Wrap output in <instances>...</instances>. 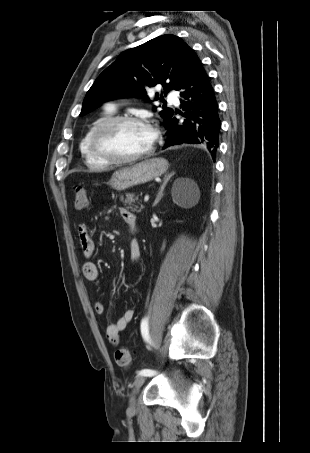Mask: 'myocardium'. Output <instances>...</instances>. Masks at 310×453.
Segmentation results:
<instances>
[{"instance_id": "f54148a6", "label": "myocardium", "mask_w": 310, "mask_h": 453, "mask_svg": "<svg viewBox=\"0 0 310 453\" xmlns=\"http://www.w3.org/2000/svg\"><path fill=\"white\" fill-rule=\"evenodd\" d=\"M121 124H140L145 125L142 118L138 116L132 115H118V116H111L110 118L101 122L93 131L91 139H90V146L92 152L96 157L101 159L102 161L108 164H129L136 162L140 159L148 157L154 151V144L151 143V146L136 155L130 157H116L109 153H107L101 145L103 137L112 131L115 127Z\"/></svg>"}]
</instances>
